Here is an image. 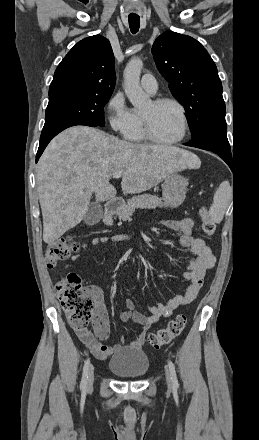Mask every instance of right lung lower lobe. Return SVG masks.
I'll return each mask as SVG.
<instances>
[{
	"label": "right lung lower lobe",
	"mask_w": 259,
	"mask_h": 440,
	"mask_svg": "<svg viewBox=\"0 0 259 440\" xmlns=\"http://www.w3.org/2000/svg\"><path fill=\"white\" fill-rule=\"evenodd\" d=\"M76 125H86V126H91V127L97 126L94 124L81 122V121H67V122H63V123L51 126L49 128H43L42 133H41V137H40L38 152L36 155V162L38 161L39 157L42 155L44 149L46 148V146L48 145V143L51 141V139L53 137H55L58 133H60L64 129L69 128L71 126H76Z\"/></svg>",
	"instance_id": "obj_1"
}]
</instances>
